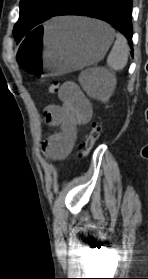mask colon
I'll return each instance as SVG.
<instances>
[{"instance_id":"obj_1","label":"colon","mask_w":148,"mask_h":279,"mask_svg":"<svg viewBox=\"0 0 148 279\" xmlns=\"http://www.w3.org/2000/svg\"><path fill=\"white\" fill-rule=\"evenodd\" d=\"M49 93L57 94L60 91L59 83L54 82L48 88ZM101 133V125L99 121L91 123L89 131L85 136L83 142L80 144V155L86 157L92 150L94 144L98 140Z\"/></svg>"}]
</instances>
